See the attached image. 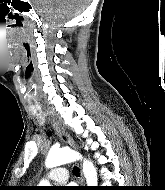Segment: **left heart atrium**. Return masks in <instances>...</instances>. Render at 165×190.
Returning a JSON list of instances; mask_svg holds the SVG:
<instances>
[{
	"instance_id": "left-heart-atrium-1",
	"label": "left heart atrium",
	"mask_w": 165,
	"mask_h": 190,
	"mask_svg": "<svg viewBox=\"0 0 165 190\" xmlns=\"http://www.w3.org/2000/svg\"><path fill=\"white\" fill-rule=\"evenodd\" d=\"M64 190H74L73 187H66Z\"/></svg>"
}]
</instances>
